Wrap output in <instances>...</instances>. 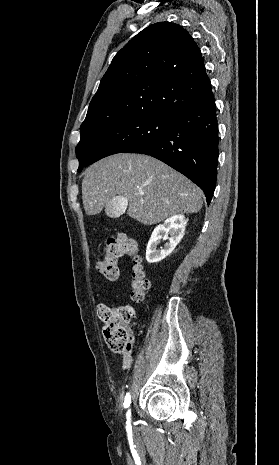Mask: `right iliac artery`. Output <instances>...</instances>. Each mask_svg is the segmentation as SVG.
I'll use <instances>...</instances> for the list:
<instances>
[{
	"label": "right iliac artery",
	"mask_w": 279,
	"mask_h": 465,
	"mask_svg": "<svg viewBox=\"0 0 279 465\" xmlns=\"http://www.w3.org/2000/svg\"><path fill=\"white\" fill-rule=\"evenodd\" d=\"M130 403H131V396L129 393L126 394L125 396V401H124V408L127 409L129 406H130ZM127 422L129 423L130 422V417H131V412L130 410H128L127 412Z\"/></svg>",
	"instance_id": "1"
}]
</instances>
